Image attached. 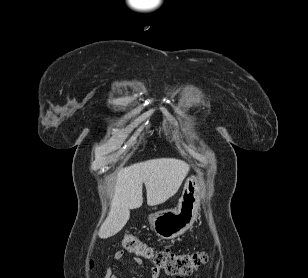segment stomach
<instances>
[{
  "mask_svg": "<svg viewBox=\"0 0 308 278\" xmlns=\"http://www.w3.org/2000/svg\"><path fill=\"white\" fill-rule=\"evenodd\" d=\"M199 192V179L191 176L185 182L177 209L149 215V223L159 237L174 239L192 227L200 209Z\"/></svg>",
  "mask_w": 308,
  "mask_h": 278,
  "instance_id": "obj_1",
  "label": "stomach"
}]
</instances>
